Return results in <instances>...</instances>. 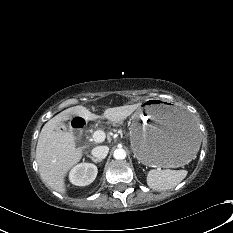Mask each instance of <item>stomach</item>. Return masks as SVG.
Listing matches in <instances>:
<instances>
[{
  "mask_svg": "<svg viewBox=\"0 0 233 233\" xmlns=\"http://www.w3.org/2000/svg\"><path fill=\"white\" fill-rule=\"evenodd\" d=\"M131 147L134 156L152 167H180L200 147V134L191 115L172 102L150 100L132 115Z\"/></svg>",
  "mask_w": 233,
  "mask_h": 233,
  "instance_id": "stomach-1",
  "label": "stomach"
}]
</instances>
